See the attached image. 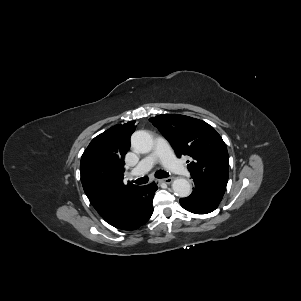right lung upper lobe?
<instances>
[{
	"mask_svg": "<svg viewBox=\"0 0 301 301\" xmlns=\"http://www.w3.org/2000/svg\"><path fill=\"white\" fill-rule=\"evenodd\" d=\"M135 121L116 125L95 137L80 162L83 189L101 217L107 222L121 213L129 195L138 187L123 183L124 156Z\"/></svg>",
	"mask_w": 301,
	"mask_h": 301,
	"instance_id": "right-lung-upper-lobe-1",
	"label": "right lung upper lobe"
}]
</instances>
